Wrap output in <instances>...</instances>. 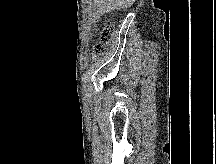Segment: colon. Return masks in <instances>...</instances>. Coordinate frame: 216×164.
I'll list each match as a JSON object with an SVG mask.
<instances>
[{
	"label": "colon",
	"mask_w": 216,
	"mask_h": 164,
	"mask_svg": "<svg viewBox=\"0 0 216 164\" xmlns=\"http://www.w3.org/2000/svg\"><path fill=\"white\" fill-rule=\"evenodd\" d=\"M113 37V27L111 25H107L103 28L100 34V43H98L94 48L95 57H99L104 53L105 47L104 45L108 43Z\"/></svg>",
	"instance_id": "obj_1"
}]
</instances>
